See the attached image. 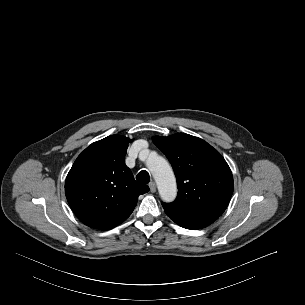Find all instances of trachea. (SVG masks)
Segmentation results:
<instances>
[{"label": "trachea", "instance_id": "trachea-1", "mask_svg": "<svg viewBox=\"0 0 305 305\" xmlns=\"http://www.w3.org/2000/svg\"><path fill=\"white\" fill-rule=\"evenodd\" d=\"M136 179L142 183H149L150 182V176L149 173L145 170L140 171L137 176Z\"/></svg>", "mask_w": 305, "mask_h": 305}]
</instances>
